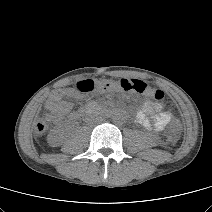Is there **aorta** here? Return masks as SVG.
<instances>
[{
    "label": "aorta",
    "instance_id": "1",
    "mask_svg": "<svg viewBox=\"0 0 212 212\" xmlns=\"http://www.w3.org/2000/svg\"><path fill=\"white\" fill-rule=\"evenodd\" d=\"M123 119V116L120 112H116L113 116V120L116 122V123H119L121 122Z\"/></svg>",
    "mask_w": 212,
    "mask_h": 212
}]
</instances>
